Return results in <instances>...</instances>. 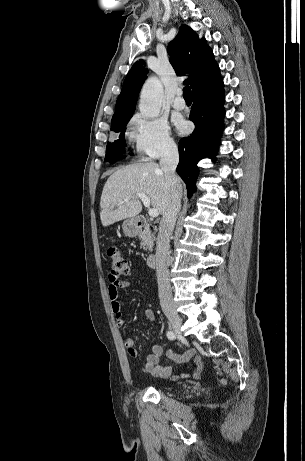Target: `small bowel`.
<instances>
[{"label":"small bowel","instance_id":"small-bowel-1","mask_svg":"<svg viewBox=\"0 0 305 461\" xmlns=\"http://www.w3.org/2000/svg\"><path fill=\"white\" fill-rule=\"evenodd\" d=\"M130 283L125 280H120L116 277L109 275V286H108V296L111 302V311L114 315L115 322L117 325H123L125 323V317L121 310V304L119 302V290L129 288ZM147 318L150 321L155 320V315L151 309L145 311ZM124 345L127 349V352L130 356L136 357L138 352L135 348V339L133 337H126L124 339ZM152 353L149 354L144 362V371L153 376L167 378L171 377L172 380H179L187 377L198 378L203 369V363L200 357L195 358L194 365L190 372L181 373L178 375H171V369L169 367L161 368L158 367V364L164 354L163 347L159 344H152L151 346ZM194 355L193 350H188L182 355L176 354L172 349H169L166 353V356L173 361L183 363L186 362L191 356Z\"/></svg>","mask_w":305,"mask_h":461}]
</instances>
